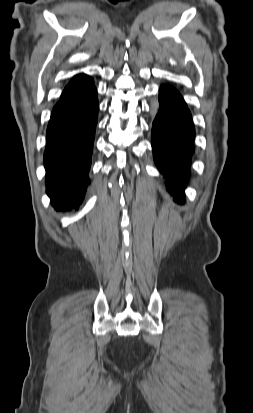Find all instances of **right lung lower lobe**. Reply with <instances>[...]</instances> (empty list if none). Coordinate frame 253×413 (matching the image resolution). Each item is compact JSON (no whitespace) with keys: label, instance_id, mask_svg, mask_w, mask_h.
I'll use <instances>...</instances> for the list:
<instances>
[{"label":"right lung lower lobe","instance_id":"obj_1","mask_svg":"<svg viewBox=\"0 0 253 413\" xmlns=\"http://www.w3.org/2000/svg\"><path fill=\"white\" fill-rule=\"evenodd\" d=\"M98 108L94 85L60 100L53 108L44 164L46 192L56 210H77L90 183Z\"/></svg>","mask_w":253,"mask_h":413}]
</instances>
